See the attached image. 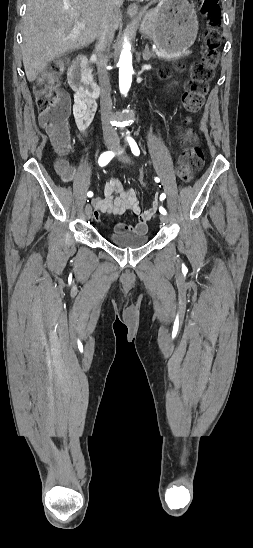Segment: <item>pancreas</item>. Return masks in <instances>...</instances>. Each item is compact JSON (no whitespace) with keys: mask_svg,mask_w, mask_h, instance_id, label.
<instances>
[{"mask_svg":"<svg viewBox=\"0 0 253 548\" xmlns=\"http://www.w3.org/2000/svg\"><path fill=\"white\" fill-rule=\"evenodd\" d=\"M154 52L156 53L157 57L159 59H163V60H176L180 57H183L185 55L188 54V52H185V53H182V54H174V53H169V52H166L160 48L154 50Z\"/></svg>","mask_w":253,"mask_h":548,"instance_id":"obj_1","label":"pancreas"}]
</instances>
